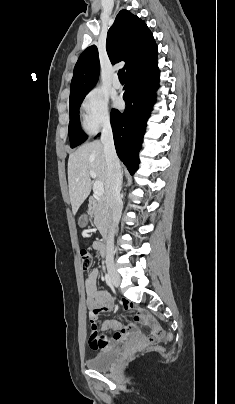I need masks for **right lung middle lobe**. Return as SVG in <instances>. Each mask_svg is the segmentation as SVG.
Instances as JSON below:
<instances>
[{"instance_id": "right-lung-middle-lobe-1", "label": "right lung middle lobe", "mask_w": 235, "mask_h": 404, "mask_svg": "<svg viewBox=\"0 0 235 404\" xmlns=\"http://www.w3.org/2000/svg\"><path fill=\"white\" fill-rule=\"evenodd\" d=\"M84 98L70 102V122H69V138L71 148L76 147L86 140V136L80 129L79 108Z\"/></svg>"}]
</instances>
